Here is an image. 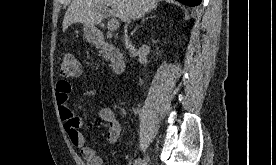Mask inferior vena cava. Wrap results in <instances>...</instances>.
I'll list each match as a JSON object with an SVG mask.
<instances>
[{"mask_svg":"<svg viewBox=\"0 0 276 165\" xmlns=\"http://www.w3.org/2000/svg\"><path fill=\"white\" fill-rule=\"evenodd\" d=\"M126 28V27H125ZM127 30L125 29V44H126V47L127 48H130L131 47V44L129 42V39H128V36L126 34Z\"/></svg>","mask_w":276,"mask_h":165,"instance_id":"obj_1","label":"inferior vena cava"}]
</instances>
